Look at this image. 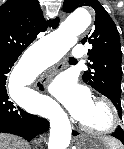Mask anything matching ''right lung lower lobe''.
<instances>
[{"label":"right lung lower lobe","instance_id":"98d812e1","mask_svg":"<svg viewBox=\"0 0 124 149\" xmlns=\"http://www.w3.org/2000/svg\"><path fill=\"white\" fill-rule=\"evenodd\" d=\"M18 57L0 59V133H10L30 142L36 135L49 129L47 120L29 114L9 100L6 90L7 75Z\"/></svg>","mask_w":124,"mask_h":149}]
</instances>
